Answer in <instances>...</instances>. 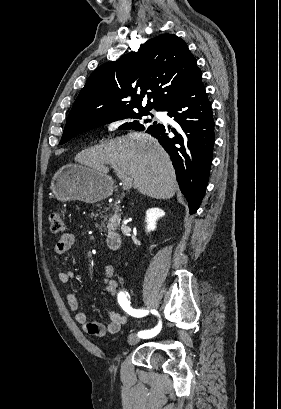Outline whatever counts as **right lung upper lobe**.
I'll use <instances>...</instances> for the list:
<instances>
[{
    "label": "right lung upper lobe",
    "instance_id": "obj_1",
    "mask_svg": "<svg viewBox=\"0 0 281 409\" xmlns=\"http://www.w3.org/2000/svg\"><path fill=\"white\" fill-rule=\"evenodd\" d=\"M187 44L174 34L148 40L130 52L95 69L79 93L65 128L84 127L129 111H159L187 87L200 69ZM148 101L142 106L143 94ZM150 98L153 102H150Z\"/></svg>",
    "mask_w": 281,
    "mask_h": 409
}]
</instances>
